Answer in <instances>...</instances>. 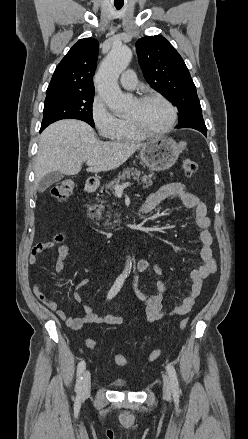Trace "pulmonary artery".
<instances>
[{
	"instance_id": "obj_1",
	"label": "pulmonary artery",
	"mask_w": 248,
	"mask_h": 439,
	"mask_svg": "<svg viewBox=\"0 0 248 439\" xmlns=\"http://www.w3.org/2000/svg\"><path fill=\"white\" fill-rule=\"evenodd\" d=\"M120 84L124 89H134L137 85L135 72L132 70L124 72L121 76Z\"/></svg>"
}]
</instances>
